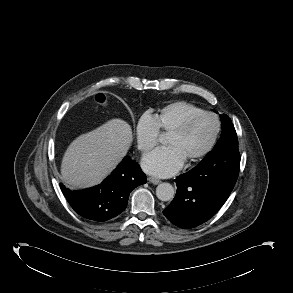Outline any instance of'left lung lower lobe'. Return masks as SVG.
<instances>
[{"mask_svg": "<svg viewBox=\"0 0 293 293\" xmlns=\"http://www.w3.org/2000/svg\"><path fill=\"white\" fill-rule=\"evenodd\" d=\"M214 166H196L176 177L177 192L163 214L175 225L188 229L209 220L234 188L240 165L239 152L228 153Z\"/></svg>", "mask_w": 293, "mask_h": 293, "instance_id": "1", "label": "left lung lower lobe"}]
</instances>
